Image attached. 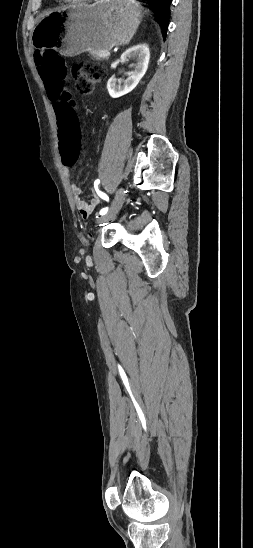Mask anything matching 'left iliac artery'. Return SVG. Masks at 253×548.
Listing matches in <instances>:
<instances>
[{
    "instance_id": "1",
    "label": "left iliac artery",
    "mask_w": 253,
    "mask_h": 548,
    "mask_svg": "<svg viewBox=\"0 0 253 548\" xmlns=\"http://www.w3.org/2000/svg\"><path fill=\"white\" fill-rule=\"evenodd\" d=\"M99 183H100V180H99V179H97V180L94 182V185H95V188H96V189H97V186L99 185ZM97 192H98V195H99L102 199H104V200H106V201H109V198H108V196H107L105 193L100 192V191H98V190H97ZM107 212H108V207H105V208H103V209L100 210L99 214H100V215H104V214H106Z\"/></svg>"
}]
</instances>
